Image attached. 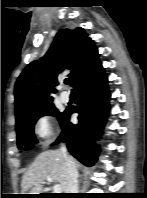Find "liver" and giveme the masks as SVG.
<instances>
[{
	"label": "liver",
	"instance_id": "obj_1",
	"mask_svg": "<svg viewBox=\"0 0 147 198\" xmlns=\"http://www.w3.org/2000/svg\"><path fill=\"white\" fill-rule=\"evenodd\" d=\"M70 158L77 167V161L73 157ZM48 177H51L53 182L59 183L62 191L66 193L65 158L60 150H47L36 157L35 161L22 177V194L42 193L43 185Z\"/></svg>",
	"mask_w": 147,
	"mask_h": 198
}]
</instances>
